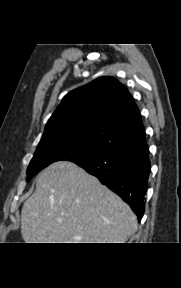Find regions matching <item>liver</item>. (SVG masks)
Listing matches in <instances>:
<instances>
[{
    "mask_svg": "<svg viewBox=\"0 0 181 288\" xmlns=\"http://www.w3.org/2000/svg\"><path fill=\"white\" fill-rule=\"evenodd\" d=\"M136 230L131 208L96 177L68 161L44 169L22 207L25 243H125Z\"/></svg>",
    "mask_w": 181,
    "mask_h": 288,
    "instance_id": "1",
    "label": "liver"
}]
</instances>
